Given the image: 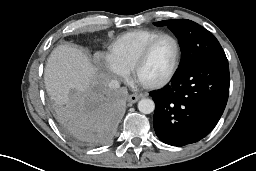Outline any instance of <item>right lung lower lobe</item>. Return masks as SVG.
Returning <instances> with one entry per match:
<instances>
[{
	"label": "right lung lower lobe",
	"instance_id": "right-lung-lower-lobe-1",
	"mask_svg": "<svg viewBox=\"0 0 256 171\" xmlns=\"http://www.w3.org/2000/svg\"><path fill=\"white\" fill-rule=\"evenodd\" d=\"M125 108V92L99 91L96 96L77 102L61 117L65 130L90 145L109 142Z\"/></svg>",
	"mask_w": 256,
	"mask_h": 171
}]
</instances>
